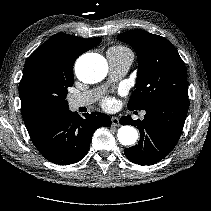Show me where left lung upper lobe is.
<instances>
[{
	"label": "left lung upper lobe",
	"instance_id": "obj_1",
	"mask_svg": "<svg viewBox=\"0 0 211 211\" xmlns=\"http://www.w3.org/2000/svg\"><path fill=\"white\" fill-rule=\"evenodd\" d=\"M117 38L135 49L139 63L136 90L128 102L130 110L145 109L164 98H188L185 64L167 39L139 29Z\"/></svg>",
	"mask_w": 211,
	"mask_h": 211
}]
</instances>
